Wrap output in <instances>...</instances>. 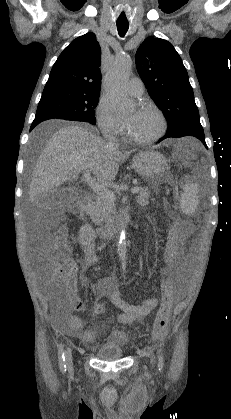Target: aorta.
<instances>
[{
  "instance_id": "aorta-1",
  "label": "aorta",
  "mask_w": 231,
  "mask_h": 419,
  "mask_svg": "<svg viewBox=\"0 0 231 419\" xmlns=\"http://www.w3.org/2000/svg\"><path fill=\"white\" fill-rule=\"evenodd\" d=\"M132 68V60L127 55L118 56L105 77V89L108 93L114 109L124 112L130 107V100L126 94V82ZM118 255L121 263L127 259L126 232L122 230L118 241Z\"/></svg>"
}]
</instances>
